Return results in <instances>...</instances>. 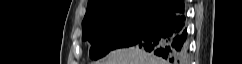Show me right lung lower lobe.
<instances>
[{
	"label": "right lung lower lobe",
	"mask_w": 242,
	"mask_h": 64,
	"mask_svg": "<svg viewBox=\"0 0 242 64\" xmlns=\"http://www.w3.org/2000/svg\"><path fill=\"white\" fill-rule=\"evenodd\" d=\"M183 0H174L158 23L135 46L172 64L187 62V28Z\"/></svg>",
	"instance_id": "right-lung-lower-lobe-1"
}]
</instances>
